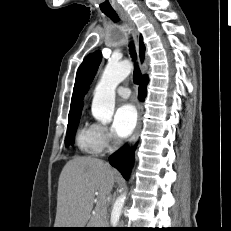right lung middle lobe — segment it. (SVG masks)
Listing matches in <instances>:
<instances>
[{
	"mask_svg": "<svg viewBox=\"0 0 231 231\" xmlns=\"http://www.w3.org/2000/svg\"><path fill=\"white\" fill-rule=\"evenodd\" d=\"M80 115H76L68 118L67 134H66V146L74 143V137L79 124Z\"/></svg>",
	"mask_w": 231,
	"mask_h": 231,
	"instance_id": "1",
	"label": "right lung middle lobe"
}]
</instances>
